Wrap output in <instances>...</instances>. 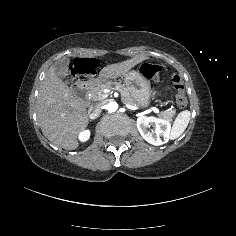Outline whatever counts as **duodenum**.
<instances>
[{"label":"duodenum","mask_w":236,"mask_h":236,"mask_svg":"<svg viewBox=\"0 0 236 236\" xmlns=\"http://www.w3.org/2000/svg\"><path fill=\"white\" fill-rule=\"evenodd\" d=\"M97 82L98 78L91 73H85L81 75L79 81L74 87L75 96L79 100L85 101L89 89L92 88Z\"/></svg>","instance_id":"410a0bca"}]
</instances>
